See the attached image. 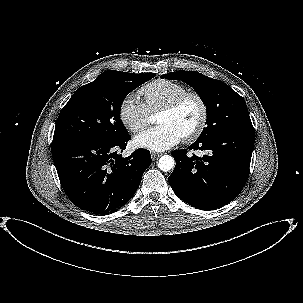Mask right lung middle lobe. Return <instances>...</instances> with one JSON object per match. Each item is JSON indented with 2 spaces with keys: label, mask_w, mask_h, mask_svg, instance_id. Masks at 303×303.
<instances>
[{
  "label": "right lung middle lobe",
  "mask_w": 303,
  "mask_h": 303,
  "mask_svg": "<svg viewBox=\"0 0 303 303\" xmlns=\"http://www.w3.org/2000/svg\"><path fill=\"white\" fill-rule=\"evenodd\" d=\"M154 73L132 74L106 71L73 94L60 111L53 140L85 138L99 141L119 140L128 135L120 109L125 97L152 79Z\"/></svg>",
  "instance_id": "obj_1"
}]
</instances>
